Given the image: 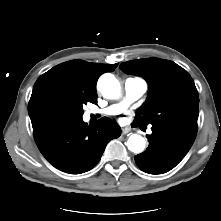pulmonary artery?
Segmentation results:
<instances>
[{
	"instance_id": "obj_1",
	"label": "pulmonary artery",
	"mask_w": 221,
	"mask_h": 221,
	"mask_svg": "<svg viewBox=\"0 0 221 221\" xmlns=\"http://www.w3.org/2000/svg\"><path fill=\"white\" fill-rule=\"evenodd\" d=\"M147 90V84L140 78H128L124 83L126 101L120 104L111 105L98 111H90V114L101 113L104 115H117L123 112L129 103L140 99Z\"/></svg>"
}]
</instances>
